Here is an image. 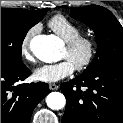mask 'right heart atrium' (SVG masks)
Segmentation results:
<instances>
[{
	"instance_id": "right-heart-atrium-1",
	"label": "right heart atrium",
	"mask_w": 123,
	"mask_h": 123,
	"mask_svg": "<svg viewBox=\"0 0 123 123\" xmlns=\"http://www.w3.org/2000/svg\"><path fill=\"white\" fill-rule=\"evenodd\" d=\"M38 31V26H33L31 27L26 34L24 35L21 44H20V54L21 56L27 60V61H32L33 57L30 51V41L32 37L37 33Z\"/></svg>"
}]
</instances>
